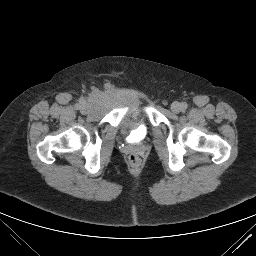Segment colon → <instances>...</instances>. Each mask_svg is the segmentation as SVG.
Returning <instances> with one entry per match:
<instances>
[{
	"instance_id": "obj_1",
	"label": "colon",
	"mask_w": 256,
	"mask_h": 256,
	"mask_svg": "<svg viewBox=\"0 0 256 256\" xmlns=\"http://www.w3.org/2000/svg\"><path fill=\"white\" fill-rule=\"evenodd\" d=\"M129 164L133 167H138L141 163V159L136 154H131L128 158Z\"/></svg>"
}]
</instances>
